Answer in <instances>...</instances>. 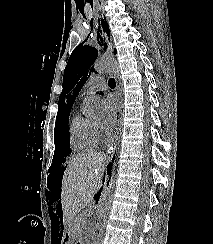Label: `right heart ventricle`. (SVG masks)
<instances>
[{"label":"right heart ventricle","mask_w":213,"mask_h":244,"mask_svg":"<svg viewBox=\"0 0 213 244\" xmlns=\"http://www.w3.org/2000/svg\"><path fill=\"white\" fill-rule=\"evenodd\" d=\"M70 143L76 151L95 149L98 145L99 134L95 122L89 118L74 115L69 125Z\"/></svg>","instance_id":"1"}]
</instances>
